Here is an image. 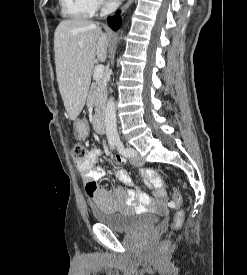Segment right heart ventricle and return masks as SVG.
<instances>
[{
	"mask_svg": "<svg viewBox=\"0 0 247 275\" xmlns=\"http://www.w3.org/2000/svg\"><path fill=\"white\" fill-rule=\"evenodd\" d=\"M63 15L70 19H89L97 8L96 0H59Z\"/></svg>",
	"mask_w": 247,
	"mask_h": 275,
	"instance_id": "obj_1",
	"label": "right heart ventricle"
}]
</instances>
